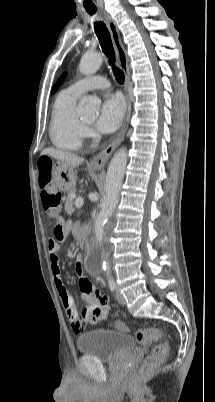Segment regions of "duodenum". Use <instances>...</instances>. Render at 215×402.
Returning <instances> with one entry per match:
<instances>
[{"instance_id":"410a0bca","label":"duodenum","mask_w":215,"mask_h":402,"mask_svg":"<svg viewBox=\"0 0 215 402\" xmlns=\"http://www.w3.org/2000/svg\"><path fill=\"white\" fill-rule=\"evenodd\" d=\"M81 241H82V244H83L84 246L87 245V243H88V233H87V232H83V233H82V235H81Z\"/></svg>"}]
</instances>
